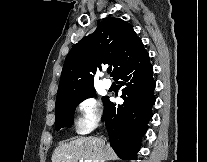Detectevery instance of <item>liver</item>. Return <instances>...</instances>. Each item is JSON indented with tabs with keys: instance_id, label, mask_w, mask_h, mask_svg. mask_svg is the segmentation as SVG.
I'll return each instance as SVG.
<instances>
[{
	"instance_id": "1",
	"label": "liver",
	"mask_w": 207,
	"mask_h": 162,
	"mask_svg": "<svg viewBox=\"0 0 207 162\" xmlns=\"http://www.w3.org/2000/svg\"><path fill=\"white\" fill-rule=\"evenodd\" d=\"M116 154L109 144L97 137H80L60 144L53 152L52 162H78V160H114Z\"/></svg>"
}]
</instances>
